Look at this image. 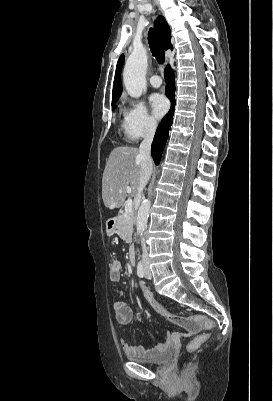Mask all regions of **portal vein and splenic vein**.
Instances as JSON below:
<instances>
[{
    "label": "portal vein and splenic vein",
    "instance_id": "1",
    "mask_svg": "<svg viewBox=\"0 0 273 401\" xmlns=\"http://www.w3.org/2000/svg\"><path fill=\"white\" fill-rule=\"evenodd\" d=\"M126 192H132L131 186H126ZM132 211V201L131 198H128L125 205V213H131Z\"/></svg>",
    "mask_w": 273,
    "mask_h": 401
}]
</instances>
